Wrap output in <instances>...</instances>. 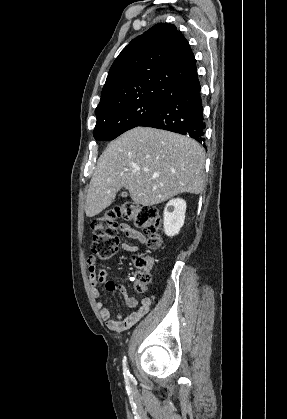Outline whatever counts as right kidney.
<instances>
[{
  "instance_id": "ca27d5eb",
  "label": "right kidney",
  "mask_w": 287,
  "mask_h": 419,
  "mask_svg": "<svg viewBox=\"0 0 287 419\" xmlns=\"http://www.w3.org/2000/svg\"><path fill=\"white\" fill-rule=\"evenodd\" d=\"M186 202L176 198L170 200L164 209V232L167 236H175L184 225Z\"/></svg>"
}]
</instances>
